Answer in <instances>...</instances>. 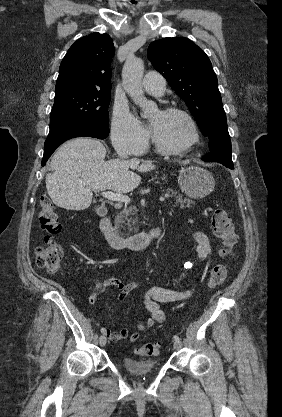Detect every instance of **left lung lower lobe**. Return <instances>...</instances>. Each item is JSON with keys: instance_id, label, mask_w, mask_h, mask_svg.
<instances>
[{"instance_id": "1", "label": "left lung lower lobe", "mask_w": 282, "mask_h": 417, "mask_svg": "<svg viewBox=\"0 0 282 417\" xmlns=\"http://www.w3.org/2000/svg\"><path fill=\"white\" fill-rule=\"evenodd\" d=\"M207 137L210 141L209 148L211 153L203 157V160L219 162L227 168L234 169L227 123L217 125Z\"/></svg>"}]
</instances>
